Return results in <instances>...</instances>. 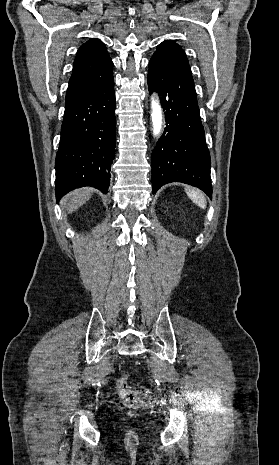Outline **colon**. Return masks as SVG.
Returning a JSON list of instances; mask_svg holds the SVG:
<instances>
[{"mask_svg":"<svg viewBox=\"0 0 279 465\" xmlns=\"http://www.w3.org/2000/svg\"><path fill=\"white\" fill-rule=\"evenodd\" d=\"M117 390L120 397L127 405L136 406L139 403L137 391L128 386L127 377L125 375L117 380Z\"/></svg>","mask_w":279,"mask_h":465,"instance_id":"obj_1","label":"colon"}]
</instances>
